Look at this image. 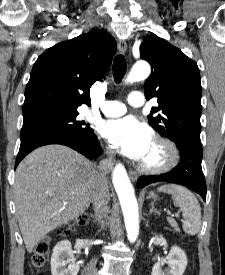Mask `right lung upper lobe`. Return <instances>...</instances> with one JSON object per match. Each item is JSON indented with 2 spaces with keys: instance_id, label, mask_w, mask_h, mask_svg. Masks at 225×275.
Masks as SVG:
<instances>
[{
  "instance_id": "cb5924a9",
  "label": "right lung upper lobe",
  "mask_w": 225,
  "mask_h": 275,
  "mask_svg": "<svg viewBox=\"0 0 225 275\" xmlns=\"http://www.w3.org/2000/svg\"><path fill=\"white\" fill-rule=\"evenodd\" d=\"M116 49L111 35L92 31L46 50L32 68L23 116L90 105V87L103 78Z\"/></svg>"
}]
</instances>
